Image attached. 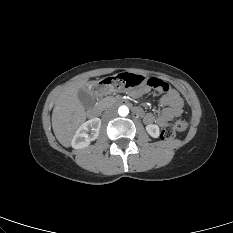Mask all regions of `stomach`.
I'll use <instances>...</instances> for the list:
<instances>
[{"label": "stomach", "mask_w": 233, "mask_h": 233, "mask_svg": "<svg viewBox=\"0 0 233 233\" xmlns=\"http://www.w3.org/2000/svg\"><path fill=\"white\" fill-rule=\"evenodd\" d=\"M147 77L143 74L126 72L122 74L109 75L104 82H93L92 86L97 96L107 95L111 92L131 90L139 84H144Z\"/></svg>", "instance_id": "1"}]
</instances>
